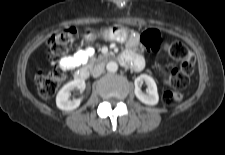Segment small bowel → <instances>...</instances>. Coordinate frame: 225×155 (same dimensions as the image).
Here are the masks:
<instances>
[{"mask_svg":"<svg viewBox=\"0 0 225 155\" xmlns=\"http://www.w3.org/2000/svg\"><path fill=\"white\" fill-rule=\"evenodd\" d=\"M140 47V38L138 35H132L128 40L125 52L122 54V57H125L136 64L134 67L136 69H141L143 67V60L138 54ZM92 54V48L81 49L71 56L62 58L61 64L68 68H74L85 63Z\"/></svg>","mask_w":225,"mask_h":155,"instance_id":"obj_1","label":"small bowel"}]
</instances>
